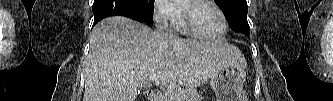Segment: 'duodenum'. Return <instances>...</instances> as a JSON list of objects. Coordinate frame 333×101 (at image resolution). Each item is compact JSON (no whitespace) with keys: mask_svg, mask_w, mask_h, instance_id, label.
Here are the masks:
<instances>
[{"mask_svg":"<svg viewBox=\"0 0 333 101\" xmlns=\"http://www.w3.org/2000/svg\"><path fill=\"white\" fill-rule=\"evenodd\" d=\"M146 97L150 101H163V97H162L161 93L158 91H155V90H149L146 93Z\"/></svg>","mask_w":333,"mask_h":101,"instance_id":"duodenum-1","label":"duodenum"}]
</instances>
